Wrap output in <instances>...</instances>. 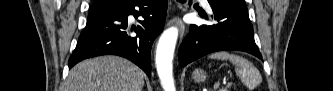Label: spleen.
<instances>
[{
	"mask_svg": "<svg viewBox=\"0 0 333 91\" xmlns=\"http://www.w3.org/2000/svg\"><path fill=\"white\" fill-rule=\"evenodd\" d=\"M211 59L229 60L235 65L236 75L241 78L242 83L253 90L262 82L259 70L247 59L236 54H229L225 51L215 52L209 56Z\"/></svg>",
	"mask_w": 333,
	"mask_h": 91,
	"instance_id": "obj_1",
	"label": "spleen"
}]
</instances>
